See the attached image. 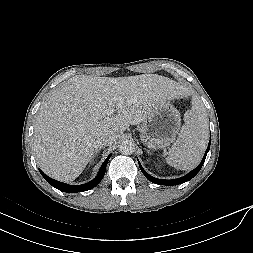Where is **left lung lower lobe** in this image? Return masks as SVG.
Masks as SVG:
<instances>
[{"mask_svg":"<svg viewBox=\"0 0 253 253\" xmlns=\"http://www.w3.org/2000/svg\"><path fill=\"white\" fill-rule=\"evenodd\" d=\"M210 142L209 141V144H208V147H207V150L204 154V157L200 163V165L195 168L194 170H192L190 173H188L187 175L181 177V178H178V179H173V180H163V179H158V178H155V177H152L151 175H149L144 169L143 167L141 166V164L139 163V167L142 171V173L153 183H156V184H159V185H178V184H181V183H184L186 181H189L191 180L201 169L204 161H205V158H206V155L210 149ZM139 162V161H138Z\"/></svg>","mask_w":253,"mask_h":253,"instance_id":"1","label":"left lung lower lobe"}]
</instances>
